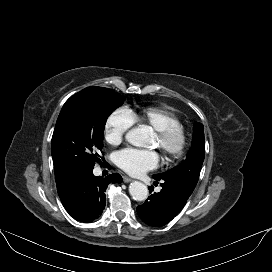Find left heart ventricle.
Returning <instances> with one entry per match:
<instances>
[{
    "label": "left heart ventricle",
    "instance_id": "b2bd125f",
    "mask_svg": "<svg viewBox=\"0 0 272 272\" xmlns=\"http://www.w3.org/2000/svg\"><path fill=\"white\" fill-rule=\"evenodd\" d=\"M150 146H152V147L158 146V145H157V139H156L155 136H153Z\"/></svg>",
    "mask_w": 272,
    "mask_h": 272
}]
</instances>
